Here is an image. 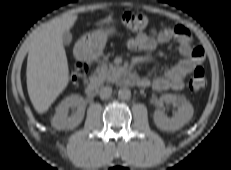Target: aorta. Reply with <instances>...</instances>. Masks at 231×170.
<instances>
[{"label":"aorta","instance_id":"1","mask_svg":"<svg viewBox=\"0 0 231 170\" xmlns=\"http://www.w3.org/2000/svg\"><path fill=\"white\" fill-rule=\"evenodd\" d=\"M118 97L122 100H129L131 98V91L128 88H122L118 91Z\"/></svg>","mask_w":231,"mask_h":170}]
</instances>
